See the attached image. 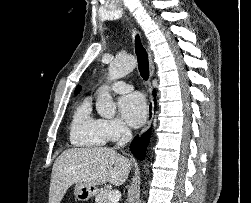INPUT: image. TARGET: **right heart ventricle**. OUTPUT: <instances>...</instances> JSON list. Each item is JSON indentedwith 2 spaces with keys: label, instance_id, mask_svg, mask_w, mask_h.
Segmentation results:
<instances>
[{
  "label": "right heart ventricle",
  "instance_id": "1",
  "mask_svg": "<svg viewBox=\"0 0 251 203\" xmlns=\"http://www.w3.org/2000/svg\"><path fill=\"white\" fill-rule=\"evenodd\" d=\"M70 141L79 147H100L106 139L100 127V119L91 112V100L84 99L74 111L70 125Z\"/></svg>",
  "mask_w": 251,
  "mask_h": 203
}]
</instances>
